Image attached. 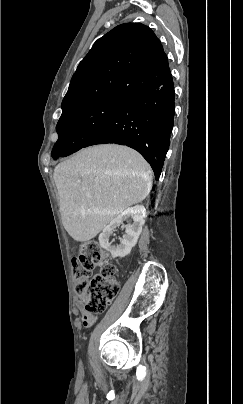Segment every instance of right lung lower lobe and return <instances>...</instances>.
Here are the masks:
<instances>
[{
    "mask_svg": "<svg viewBox=\"0 0 243 404\" xmlns=\"http://www.w3.org/2000/svg\"><path fill=\"white\" fill-rule=\"evenodd\" d=\"M174 99L170 75L161 85L128 98L85 147L103 143L129 146L147 160L158 180L174 124Z\"/></svg>",
    "mask_w": 243,
    "mask_h": 404,
    "instance_id": "right-lung-lower-lobe-1",
    "label": "right lung lower lobe"
}]
</instances>
